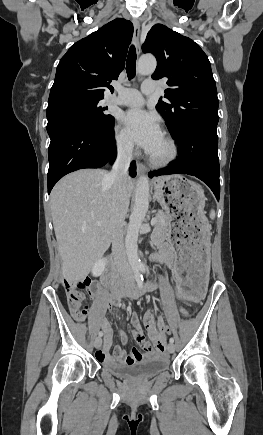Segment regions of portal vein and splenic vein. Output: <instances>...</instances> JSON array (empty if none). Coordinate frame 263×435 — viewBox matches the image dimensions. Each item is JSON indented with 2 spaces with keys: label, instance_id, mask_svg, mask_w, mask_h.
Wrapping results in <instances>:
<instances>
[{
  "label": "portal vein and splenic vein",
  "instance_id": "18ae733b",
  "mask_svg": "<svg viewBox=\"0 0 263 435\" xmlns=\"http://www.w3.org/2000/svg\"><path fill=\"white\" fill-rule=\"evenodd\" d=\"M156 222H157V217H155L151 220V226H155ZM101 224H102L101 222L96 223V225H98V226H100Z\"/></svg>",
  "mask_w": 263,
  "mask_h": 435
}]
</instances>
